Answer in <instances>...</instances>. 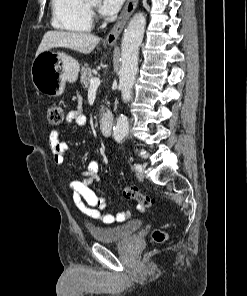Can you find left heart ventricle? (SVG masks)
I'll return each mask as SVG.
<instances>
[{"mask_svg":"<svg viewBox=\"0 0 247 296\" xmlns=\"http://www.w3.org/2000/svg\"><path fill=\"white\" fill-rule=\"evenodd\" d=\"M90 4L95 6L97 4V0H90Z\"/></svg>","mask_w":247,"mask_h":296,"instance_id":"left-heart-ventricle-1","label":"left heart ventricle"}]
</instances>
